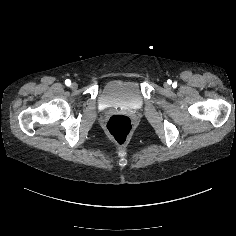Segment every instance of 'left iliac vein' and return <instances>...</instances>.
<instances>
[{"instance_id": "obj_1", "label": "left iliac vein", "mask_w": 236, "mask_h": 236, "mask_svg": "<svg viewBox=\"0 0 236 236\" xmlns=\"http://www.w3.org/2000/svg\"><path fill=\"white\" fill-rule=\"evenodd\" d=\"M165 87H166V88H169L170 85H169L168 83H165Z\"/></svg>"}]
</instances>
